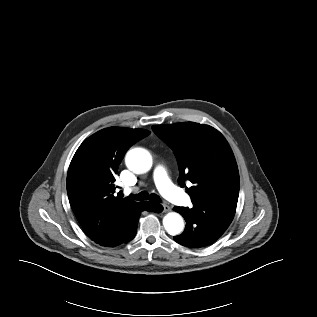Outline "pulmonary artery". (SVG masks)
Returning <instances> with one entry per match:
<instances>
[{
  "label": "pulmonary artery",
  "instance_id": "pulmonary-artery-1",
  "mask_svg": "<svg viewBox=\"0 0 317 317\" xmlns=\"http://www.w3.org/2000/svg\"><path fill=\"white\" fill-rule=\"evenodd\" d=\"M154 181L158 190L169 201L182 206L191 203L190 197L172 183L165 167L161 164L157 165L154 170Z\"/></svg>",
  "mask_w": 317,
  "mask_h": 317
}]
</instances>
